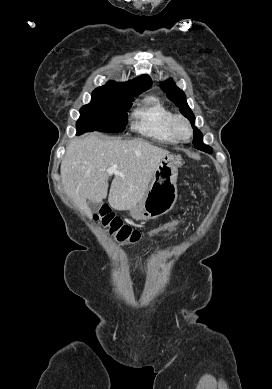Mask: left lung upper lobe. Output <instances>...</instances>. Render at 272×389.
Listing matches in <instances>:
<instances>
[{
  "label": "left lung upper lobe",
  "instance_id": "1",
  "mask_svg": "<svg viewBox=\"0 0 272 389\" xmlns=\"http://www.w3.org/2000/svg\"><path fill=\"white\" fill-rule=\"evenodd\" d=\"M160 87L167 94L168 98L176 104V106L179 108L181 113L191 121V125L194 129L193 144L195 148L202 150L206 153H212V148L203 143L202 133L194 126V122H195L194 114L192 113L191 109L189 108L186 102L185 93L182 90H180L171 79L162 82L160 84Z\"/></svg>",
  "mask_w": 272,
  "mask_h": 389
}]
</instances>
